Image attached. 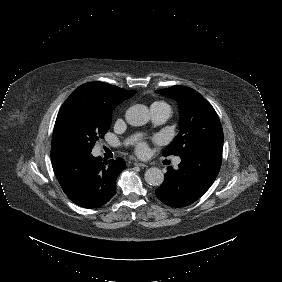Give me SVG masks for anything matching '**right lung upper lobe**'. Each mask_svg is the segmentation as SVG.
<instances>
[{"label":"right lung upper lobe","mask_w":282,"mask_h":282,"mask_svg":"<svg viewBox=\"0 0 282 282\" xmlns=\"http://www.w3.org/2000/svg\"><path fill=\"white\" fill-rule=\"evenodd\" d=\"M121 89L119 87H116L114 85H110L107 83H103V82H89L86 84L81 85L80 87H78L74 93H94V92H103V91H108V90H112V89ZM121 90H125V89H121ZM128 91V90H125Z\"/></svg>","instance_id":"1"}]
</instances>
